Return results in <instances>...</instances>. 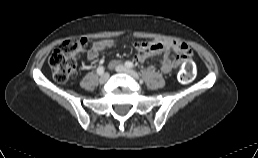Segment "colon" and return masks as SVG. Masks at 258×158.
Instances as JSON below:
<instances>
[{
    "label": "colon",
    "mask_w": 258,
    "mask_h": 158,
    "mask_svg": "<svg viewBox=\"0 0 258 158\" xmlns=\"http://www.w3.org/2000/svg\"><path fill=\"white\" fill-rule=\"evenodd\" d=\"M89 44L90 42L86 38L68 39L53 51L49 58V66L57 82L65 83L68 81L75 72L78 57L88 48ZM193 78V63L187 59L179 73V79L183 83H189Z\"/></svg>",
    "instance_id": "1"
}]
</instances>
